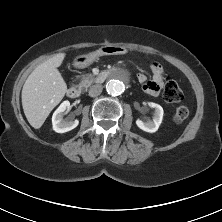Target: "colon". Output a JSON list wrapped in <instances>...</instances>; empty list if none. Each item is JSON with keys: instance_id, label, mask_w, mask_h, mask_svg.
Masks as SVG:
<instances>
[{"instance_id": "5ec220e1", "label": "colon", "mask_w": 222, "mask_h": 222, "mask_svg": "<svg viewBox=\"0 0 222 222\" xmlns=\"http://www.w3.org/2000/svg\"><path fill=\"white\" fill-rule=\"evenodd\" d=\"M163 97L169 103H177L183 99V93L179 85L174 81H168L164 85ZM189 115V110L185 105H180L174 112V120L183 122Z\"/></svg>"}]
</instances>
